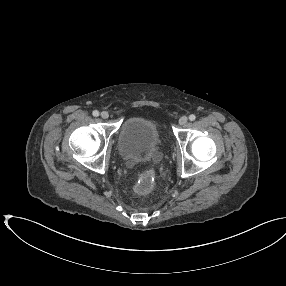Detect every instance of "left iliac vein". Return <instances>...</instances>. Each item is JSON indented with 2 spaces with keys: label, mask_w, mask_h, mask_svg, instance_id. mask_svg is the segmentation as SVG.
Wrapping results in <instances>:
<instances>
[{
  "label": "left iliac vein",
  "mask_w": 286,
  "mask_h": 286,
  "mask_svg": "<svg viewBox=\"0 0 286 286\" xmlns=\"http://www.w3.org/2000/svg\"><path fill=\"white\" fill-rule=\"evenodd\" d=\"M188 121V118L186 116H182L180 119H179V124L180 125H185Z\"/></svg>",
  "instance_id": "obj_1"
}]
</instances>
